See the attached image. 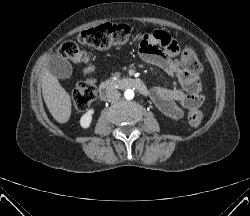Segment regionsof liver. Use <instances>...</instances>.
I'll return each mask as SVG.
<instances>
[{"label":"liver","mask_w":250,"mask_h":216,"mask_svg":"<svg viewBox=\"0 0 250 216\" xmlns=\"http://www.w3.org/2000/svg\"><path fill=\"white\" fill-rule=\"evenodd\" d=\"M42 93L46 106L59 123H66L71 116V98L58 79L47 69L41 73Z\"/></svg>","instance_id":"obj_1"}]
</instances>
